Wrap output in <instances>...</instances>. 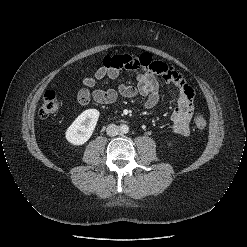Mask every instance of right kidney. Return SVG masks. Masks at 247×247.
<instances>
[{
	"label": "right kidney",
	"instance_id": "right-kidney-1",
	"mask_svg": "<svg viewBox=\"0 0 247 247\" xmlns=\"http://www.w3.org/2000/svg\"><path fill=\"white\" fill-rule=\"evenodd\" d=\"M99 115L97 109L83 111L66 130L67 141L76 146L85 144L96 127Z\"/></svg>",
	"mask_w": 247,
	"mask_h": 247
}]
</instances>
